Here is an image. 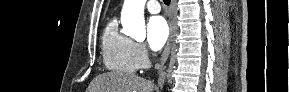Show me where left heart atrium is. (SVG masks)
Masks as SVG:
<instances>
[{"label":"left heart atrium","instance_id":"left-heart-atrium-1","mask_svg":"<svg viewBox=\"0 0 289 92\" xmlns=\"http://www.w3.org/2000/svg\"><path fill=\"white\" fill-rule=\"evenodd\" d=\"M169 37V26L161 16H153L147 24V41L153 51L160 50Z\"/></svg>","mask_w":289,"mask_h":92}]
</instances>
